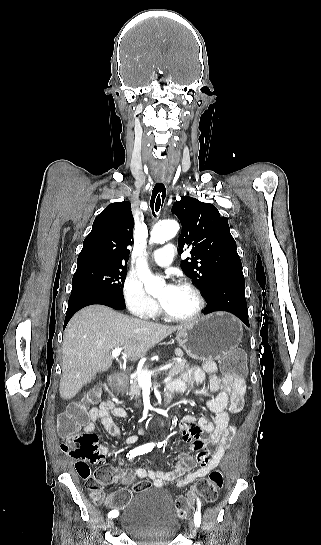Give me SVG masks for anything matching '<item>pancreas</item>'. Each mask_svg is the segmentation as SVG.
<instances>
[{
    "mask_svg": "<svg viewBox=\"0 0 321 545\" xmlns=\"http://www.w3.org/2000/svg\"><path fill=\"white\" fill-rule=\"evenodd\" d=\"M149 367L151 365H145L144 369L145 371H149ZM190 365H187L186 361H181V363H172L167 375L168 377H177V375H180V373H183L185 369H189ZM123 375H126V373H123ZM142 387L138 385L137 381H134V383H130V395H132L131 399H138L140 397Z\"/></svg>",
    "mask_w": 321,
    "mask_h": 545,
    "instance_id": "pancreas-1",
    "label": "pancreas"
}]
</instances>
